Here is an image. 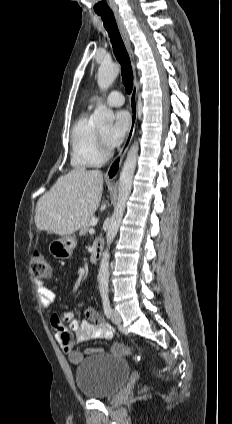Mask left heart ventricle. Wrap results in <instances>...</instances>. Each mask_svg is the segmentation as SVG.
<instances>
[{"label": "left heart ventricle", "instance_id": "obj_1", "mask_svg": "<svg viewBox=\"0 0 232 424\" xmlns=\"http://www.w3.org/2000/svg\"><path fill=\"white\" fill-rule=\"evenodd\" d=\"M101 132V134L104 136L105 139L108 138L109 133H110V127H105L99 130Z\"/></svg>", "mask_w": 232, "mask_h": 424}]
</instances>
